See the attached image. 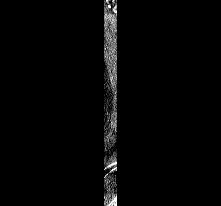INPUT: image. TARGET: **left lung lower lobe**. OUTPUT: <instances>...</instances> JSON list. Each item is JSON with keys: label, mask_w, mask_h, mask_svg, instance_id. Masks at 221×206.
I'll list each match as a JSON object with an SVG mask.
<instances>
[{"label": "left lung lower lobe", "mask_w": 221, "mask_h": 206, "mask_svg": "<svg viewBox=\"0 0 221 206\" xmlns=\"http://www.w3.org/2000/svg\"><path fill=\"white\" fill-rule=\"evenodd\" d=\"M91 168L94 172L103 171L104 161H103V156L102 155L101 156H96V157L93 158V160L91 161ZM116 174L118 176V183L121 180L129 181L134 177V171L130 167V165L127 162L119 161V158H118ZM124 204L125 203L118 202V205H124Z\"/></svg>", "instance_id": "obj_1"}]
</instances>
